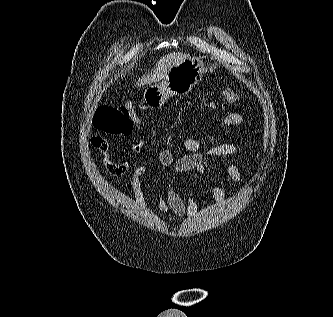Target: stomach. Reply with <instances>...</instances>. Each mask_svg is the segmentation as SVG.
<instances>
[{"label": "stomach", "instance_id": "obj_1", "mask_svg": "<svg viewBox=\"0 0 333 317\" xmlns=\"http://www.w3.org/2000/svg\"><path fill=\"white\" fill-rule=\"evenodd\" d=\"M205 71L199 59L187 58L174 65L162 82L147 87L143 100L148 107L160 109L172 95L187 94L201 80Z\"/></svg>", "mask_w": 333, "mask_h": 317}]
</instances>
